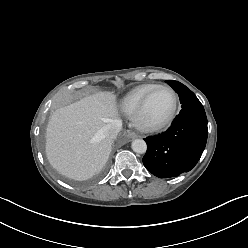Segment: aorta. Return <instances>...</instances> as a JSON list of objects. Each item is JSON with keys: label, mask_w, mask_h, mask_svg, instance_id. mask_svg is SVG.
<instances>
[{"label": "aorta", "mask_w": 248, "mask_h": 248, "mask_svg": "<svg viewBox=\"0 0 248 248\" xmlns=\"http://www.w3.org/2000/svg\"><path fill=\"white\" fill-rule=\"evenodd\" d=\"M132 150L136 153L143 154L147 150L146 142L142 139H135L132 141Z\"/></svg>", "instance_id": "1"}]
</instances>
